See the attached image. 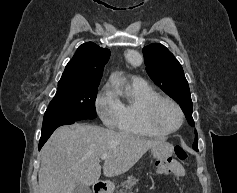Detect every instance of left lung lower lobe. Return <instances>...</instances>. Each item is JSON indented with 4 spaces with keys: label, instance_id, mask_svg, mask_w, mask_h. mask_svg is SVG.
Here are the masks:
<instances>
[{
    "label": "left lung lower lobe",
    "instance_id": "obj_1",
    "mask_svg": "<svg viewBox=\"0 0 237 193\" xmlns=\"http://www.w3.org/2000/svg\"><path fill=\"white\" fill-rule=\"evenodd\" d=\"M193 148H194L195 150H198L196 146H193Z\"/></svg>",
    "mask_w": 237,
    "mask_h": 193
}]
</instances>
